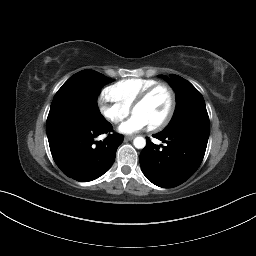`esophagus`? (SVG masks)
I'll use <instances>...</instances> for the list:
<instances>
[{
	"label": "esophagus",
	"mask_w": 256,
	"mask_h": 256,
	"mask_svg": "<svg viewBox=\"0 0 256 256\" xmlns=\"http://www.w3.org/2000/svg\"><path fill=\"white\" fill-rule=\"evenodd\" d=\"M134 135H128V136H125L124 137V139L126 140V141H129V140H132V139H134Z\"/></svg>",
	"instance_id": "34e87169"
}]
</instances>
